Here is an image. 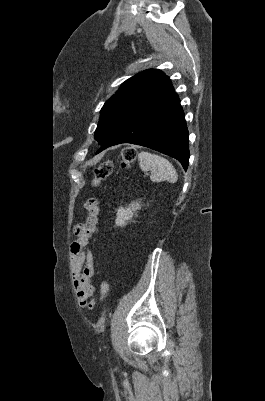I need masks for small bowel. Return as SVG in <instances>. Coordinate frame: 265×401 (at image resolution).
Returning <instances> with one entry per match:
<instances>
[{"label": "small bowel", "instance_id": "small-bowel-1", "mask_svg": "<svg viewBox=\"0 0 265 401\" xmlns=\"http://www.w3.org/2000/svg\"><path fill=\"white\" fill-rule=\"evenodd\" d=\"M86 219L75 225L73 232L77 239L71 244L72 273L77 299L83 307L92 309L95 304V287L92 277L95 274L93 255L84 251L96 230L99 205L95 198H88L84 203Z\"/></svg>", "mask_w": 265, "mask_h": 401}]
</instances>
